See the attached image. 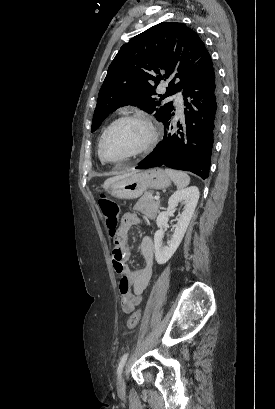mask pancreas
<instances>
[{"mask_svg": "<svg viewBox=\"0 0 275 409\" xmlns=\"http://www.w3.org/2000/svg\"><path fill=\"white\" fill-rule=\"evenodd\" d=\"M152 194L153 190H146L134 207V211H140L148 219H155L160 205V200H153L154 196Z\"/></svg>", "mask_w": 275, "mask_h": 409, "instance_id": "obj_1", "label": "pancreas"}]
</instances>
